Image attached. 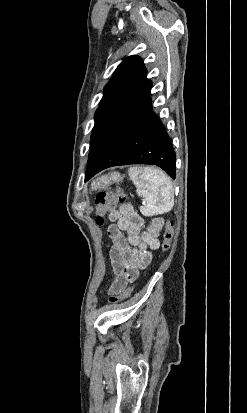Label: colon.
<instances>
[{"mask_svg": "<svg viewBox=\"0 0 247 413\" xmlns=\"http://www.w3.org/2000/svg\"><path fill=\"white\" fill-rule=\"evenodd\" d=\"M123 200L122 192H111L103 191L97 194L95 199L96 205V223L98 226H102L105 222V214L109 210H114L116 206ZM173 234V222L169 221L167 223V228L165 229L162 241L160 243V249L166 251L170 248L171 239ZM113 240V239H111ZM137 277V276H136ZM132 287H127L126 293H120L119 298H109L108 302L112 306L118 305L122 300L128 298L131 294Z\"/></svg>", "mask_w": 247, "mask_h": 413, "instance_id": "1", "label": "colon"}]
</instances>
